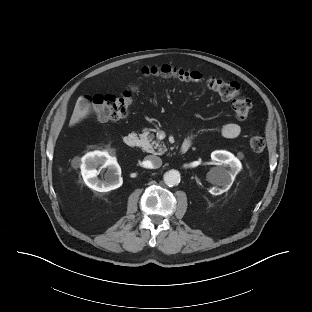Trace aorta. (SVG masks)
<instances>
[{
	"instance_id": "762f6f07",
	"label": "aorta",
	"mask_w": 312,
	"mask_h": 312,
	"mask_svg": "<svg viewBox=\"0 0 312 312\" xmlns=\"http://www.w3.org/2000/svg\"><path fill=\"white\" fill-rule=\"evenodd\" d=\"M164 182L169 187L176 186L180 183V173L177 170H169L164 174Z\"/></svg>"
}]
</instances>
